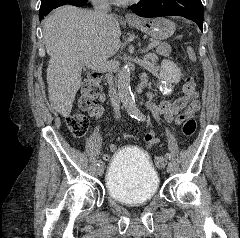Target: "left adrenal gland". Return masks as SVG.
Here are the masks:
<instances>
[{
  "instance_id": "a2214340",
  "label": "left adrenal gland",
  "mask_w": 240,
  "mask_h": 238,
  "mask_svg": "<svg viewBox=\"0 0 240 238\" xmlns=\"http://www.w3.org/2000/svg\"><path fill=\"white\" fill-rule=\"evenodd\" d=\"M143 52H144V53H146V52H147V50H143ZM144 57L147 59V58H149V57H150V54H145V56H144Z\"/></svg>"
}]
</instances>
